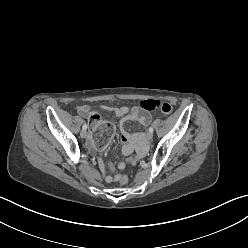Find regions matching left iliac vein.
<instances>
[{"mask_svg": "<svg viewBox=\"0 0 248 248\" xmlns=\"http://www.w3.org/2000/svg\"><path fill=\"white\" fill-rule=\"evenodd\" d=\"M152 138H153V133L149 132V133L147 134V139H148V140H151Z\"/></svg>", "mask_w": 248, "mask_h": 248, "instance_id": "left-iliac-vein-1", "label": "left iliac vein"}]
</instances>
